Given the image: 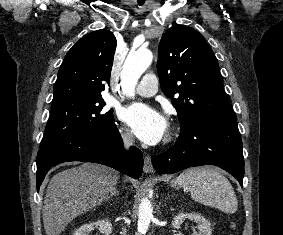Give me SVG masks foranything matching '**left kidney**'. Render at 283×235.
I'll list each match as a JSON object with an SVG mask.
<instances>
[{
  "label": "left kidney",
  "mask_w": 283,
  "mask_h": 235,
  "mask_svg": "<svg viewBox=\"0 0 283 235\" xmlns=\"http://www.w3.org/2000/svg\"><path fill=\"white\" fill-rule=\"evenodd\" d=\"M186 218L193 220L198 226L197 227L198 232H194L193 235H212L210 222L206 220L201 214L198 213H180L174 217L171 226L174 229L179 228ZM174 232H176V230H174ZM174 235H183V234L178 232Z\"/></svg>",
  "instance_id": "1"
}]
</instances>
